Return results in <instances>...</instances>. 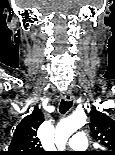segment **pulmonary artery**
<instances>
[{
    "instance_id": "obj_1",
    "label": "pulmonary artery",
    "mask_w": 115,
    "mask_h": 155,
    "mask_svg": "<svg viewBox=\"0 0 115 155\" xmlns=\"http://www.w3.org/2000/svg\"><path fill=\"white\" fill-rule=\"evenodd\" d=\"M70 148L76 151L85 150L88 146V140L83 132H76L68 141Z\"/></svg>"
}]
</instances>
